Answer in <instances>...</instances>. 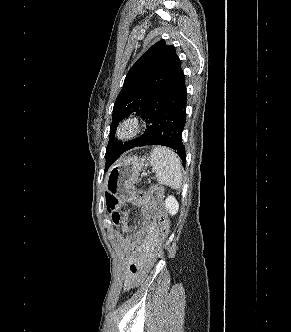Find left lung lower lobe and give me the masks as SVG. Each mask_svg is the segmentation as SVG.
Instances as JSON below:
<instances>
[{
	"mask_svg": "<svg viewBox=\"0 0 291 332\" xmlns=\"http://www.w3.org/2000/svg\"><path fill=\"white\" fill-rule=\"evenodd\" d=\"M186 106L185 77L179 64L167 85L152 100L142 117L148 123L145 133L126 143L106 163L105 167L108 168L125 151L146 145H161L172 148L176 150L180 160L185 162L186 153L182 142V132L186 123Z\"/></svg>",
	"mask_w": 291,
	"mask_h": 332,
	"instance_id": "left-lung-lower-lobe-1",
	"label": "left lung lower lobe"
}]
</instances>
